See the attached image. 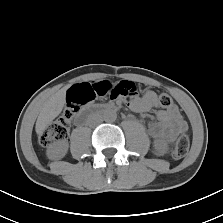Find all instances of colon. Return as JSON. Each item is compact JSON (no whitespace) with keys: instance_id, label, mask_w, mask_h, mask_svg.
Returning <instances> with one entry per match:
<instances>
[{"instance_id":"5ec220e1","label":"colon","mask_w":223,"mask_h":223,"mask_svg":"<svg viewBox=\"0 0 223 223\" xmlns=\"http://www.w3.org/2000/svg\"><path fill=\"white\" fill-rule=\"evenodd\" d=\"M137 92L136 84L131 81H121L115 85L107 81L73 85L66 95V108L63 116L43 132L40 137L41 144L48 146L55 141L65 140L72 119L85 103L105 95H109L111 99L130 100L137 95ZM158 103L160 106L168 108L172 105V99L167 94H161L158 97ZM189 146V136L185 133L180 134L173 149V157L179 159L185 156Z\"/></svg>"}]
</instances>
